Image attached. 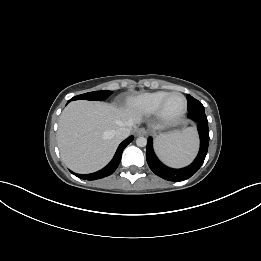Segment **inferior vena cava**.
Instances as JSON below:
<instances>
[{"label": "inferior vena cava", "instance_id": "obj_1", "mask_svg": "<svg viewBox=\"0 0 261 261\" xmlns=\"http://www.w3.org/2000/svg\"><path fill=\"white\" fill-rule=\"evenodd\" d=\"M130 134V129L126 127H120L116 130L115 135L117 138L123 140Z\"/></svg>", "mask_w": 261, "mask_h": 261}]
</instances>
